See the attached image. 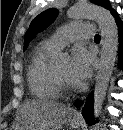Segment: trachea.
I'll return each instance as SVG.
<instances>
[{
    "mask_svg": "<svg viewBox=\"0 0 123 130\" xmlns=\"http://www.w3.org/2000/svg\"><path fill=\"white\" fill-rule=\"evenodd\" d=\"M94 40H100V35H95Z\"/></svg>",
    "mask_w": 123,
    "mask_h": 130,
    "instance_id": "3493384b",
    "label": "trachea"
}]
</instances>
